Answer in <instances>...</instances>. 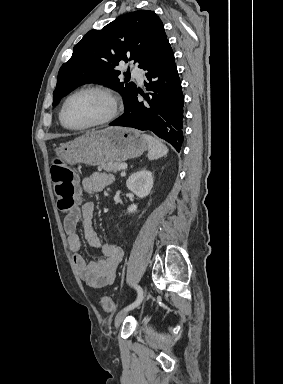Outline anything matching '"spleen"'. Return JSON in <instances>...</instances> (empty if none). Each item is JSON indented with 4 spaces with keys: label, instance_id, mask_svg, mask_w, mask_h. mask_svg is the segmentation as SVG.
<instances>
[{
    "label": "spleen",
    "instance_id": "3e777b00",
    "mask_svg": "<svg viewBox=\"0 0 283 384\" xmlns=\"http://www.w3.org/2000/svg\"><path fill=\"white\" fill-rule=\"evenodd\" d=\"M143 138L148 144V160H158V158H162V156L168 154L166 146L161 144L160 140H156V138H152V136H147V134H143Z\"/></svg>",
    "mask_w": 283,
    "mask_h": 384
}]
</instances>
